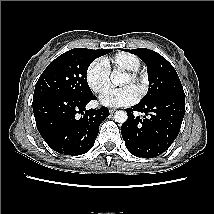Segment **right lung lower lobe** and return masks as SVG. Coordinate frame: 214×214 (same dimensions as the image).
<instances>
[{"label":"right lung lower lobe","instance_id":"right-lung-lower-lobe-1","mask_svg":"<svg viewBox=\"0 0 214 214\" xmlns=\"http://www.w3.org/2000/svg\"><path fill=\"white\" fill-rule=\"evenodd\" d=\"M93 99H96L94 95H48L33 100L38 131L51 149L63 155L78 156L93 147L99 126L109 115L106 107L85 110Z\"/></svg>","mask_w":214,"mask_h":214}]
</instances>
